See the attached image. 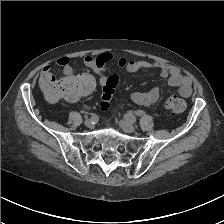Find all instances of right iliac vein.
<instances>
[{
  "mask_svg": "<svg viewBox=\"0 0 224 224\" xmlns=\"http://www.w3.org/2000/svg\"><path fill=\"white\" fill-rule=\"evenodd\" d=\"M85 125L88 127V128H93L94 127V123L91 119H87L85 121Z\"/></svg>",
  "mask_w": 224,
  "mask_h": 224,
  "instance_id": "right-iliac-vein-1",
  "label": "right iliac vein"
}]
</instances>
